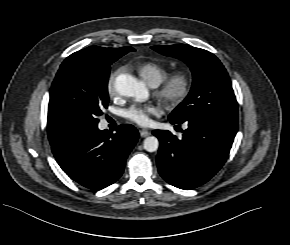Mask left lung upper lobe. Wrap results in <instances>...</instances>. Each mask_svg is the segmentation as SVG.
I'll list each match as a JSON object with an SVG mask.
<instances>
[{"mask_svg": "<svg viewBox=\"0 0 290 245\" xmlns=\"http://www.w3.org/2000/svg\"><path fill=\"white\" fill-rule=\"evenodd\" d=\"M152 49L186 62L193 74L190 93L172 111L169 120L179 122L205 113L224 122L238 123V104L230 78L214 54L186 44L152 46Z\"/></svg>", "mask_w": 290, "mask_h": 245, "instance_id": "left-lung-upper-lobe-1", "label": "left lung upper lobe"}]
</instances>
